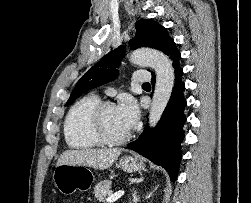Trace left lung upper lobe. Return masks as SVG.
Wrapping results in <instances>:
<instances>
[{
	"instance_id": "5c2ea615",
	"label": "left lung upper lobe",
	"mask_w": 251,
	"mask_h": 203,
	"mask_svg": "<svg viewBox=\"0 0 251 203\" xmlns=\"http://www.w3.org/2000/svg\"><path fill=\"white\" fill-rule=\"evenodd\" d=\"M136 37L129 41L132 49L140 47L155 48L163 53L173 41L166 28L154 20H139L136 22ZM125 54L124 46L109 52L96 65L89 69L73 89L66 106L75 101L84 92L113 81L118 76L117 68Z\"/></svg>"
}]
</instances>
